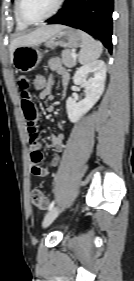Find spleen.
Wrapping results in <instances>:
<instances>
[{"label": "spleen", "instance_id": "spleen-1", "mask_svg": "<svg viewBox=\"0 0 134 281\" xmlns=\"http://www.w3.org/2000/svg\"><path fill=\"white\" fill-rule=\"evenodd\" d=\"M82 45L79 52V62L88 64L98 59L103 51V45L85 32H81Z\"/></svg>", "mask_w": 134, "mask_h": 281}]
</instances>
